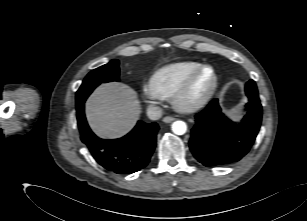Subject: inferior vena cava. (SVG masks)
Listing matches in <instances>:
<instances>
[{"instance_id": "602c4592", "label": "inferior vena cava", "mask_w": 307, "mask_h": 221, "mask_svg": "<svg viewBox=\"0 0 307 221\" xmlns=\"http://www.w3.org/2000/svg\"><path fill=\"white\" fill-rule=\"evenodd\" d=\"M147 115L151 120H158L162 116V109L157 105H150L147 108Z\"/></svg>"}]
</instances>
